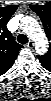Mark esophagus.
<instances>
[{
    "instance_id": "34e87169",
    "label": "esophagus",
    "mask_w": 51,
    "mask_h": 101,
    "mask_svg": "<svg viewBox=\"0 0 51 101\" xmlns=\"http://www.w3.org/2000/svg\"><path fill=\"white\" fill-rule=\"evenodd\" d=\"M26 46H27L28 48H33L34 43H33L32 41H29V42L26 44Z\"/></svg>"
}]
</instances>
